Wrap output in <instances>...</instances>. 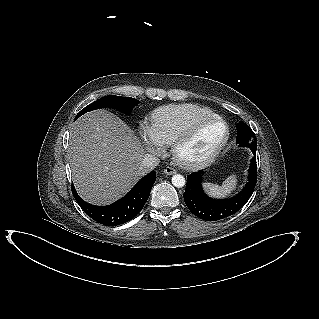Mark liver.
Returning <instances> with one entry per match:
<instances>
[{"mask_svg": "<svg viewBox=\"0 0 319 319\" xmlns=\"http://www.w3.org/2000/svg\"><path fill=\"white\" fill-rule=\"evenodd\" d=\"M67 156L78 194L94 205L118 200L145 174L139 169L143 146L105 109L86 113L72 124Z\"/></svg>", "mask_w": 319, "mask_h": 319, "instance_id": "obj_1", "label": "liver"}]
</instances>
